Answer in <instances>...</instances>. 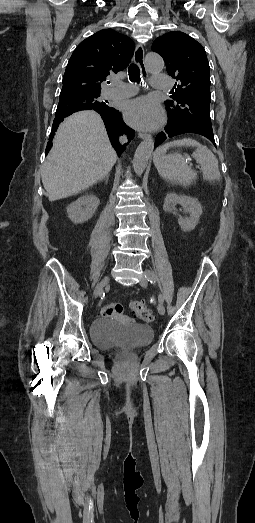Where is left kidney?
I'll return each mask as SVG.
<instances>
[{"label": "left kidney", "mask_w": 255, "mask_h": 523, "mask_svg": "<svg viewBox=\"0 0 255 523\" xmlns=\"http://www.w3.org/2000/svg\"><path fill=\"white\" fill-rule=\"evenodd\" d=\"M175 204H181L185 212L190 214V218H178V224L181 226L183 232H191L197 226L199 218L202 214V206L197 202V198H190V196H177V194H167L163 210L165 212H173L175 210Z\"/></svg>", "instance_id": "1"}]
</instances>
